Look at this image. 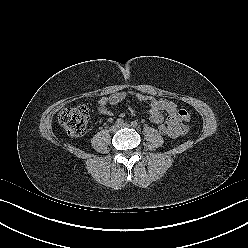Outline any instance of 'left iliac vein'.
<instances>
[{
  "instance_id": "left-iliac-vein-1",
  "label": "left iliac vein",
  "mask_w": 248,
  "mask_h": 248,
  "mask_svg": "<svg viewBox=\"0 0 248 248\" xmlns=\"http://www.w3.org/2000/svg\"><path fill=\"white\" fill-rule=\"evenodd\" d=\"M120 127H130V125L128 123H123L120 125Z\"/></svg>"
}]
</instances>
